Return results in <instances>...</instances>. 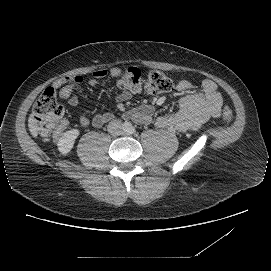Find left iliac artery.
I'll return each mask as SVG.
<instances>
[{
    "mask_svg": "<svg viewBox=\"0 0 271 271\" xmlns=\"http://www.w3.org/2000/svg\"><path fill=\"white\" fill-rule=\"evenodd\" d=\"M130 133H131V134L135 133V129H134V128H131V129H130Z\"/></svg>",
    "mask_w": 271,
    "mask_h": 271,
    "instance_id": "1",
    "label": "left iliac artery"
}]
</instances>
